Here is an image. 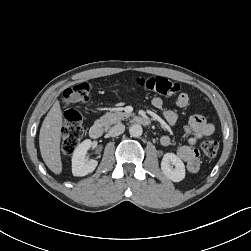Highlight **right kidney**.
Here are the masks:
<instances>
[{
	"mask_svg": "<svg viewBox=\"0 0 251 251\" xmlns=\"http://www.w3.org/2000/svg\"><path fill=\"white\" fill-rule=\"evenodd\" d=\"M92 141L90 139L84 140L74 150L72 156V173L74 176L83 177L92 173L98 165V161L86 159V153L91 148Z\"/></svg>",
	"mask_w": 251,
	"mask_h": 251,
	"instance_id": "right-kidney-1",
	"label": "right kidney"
}]
</instances>
